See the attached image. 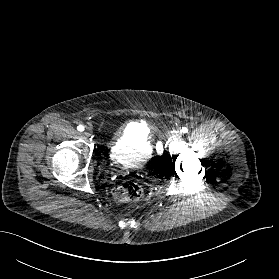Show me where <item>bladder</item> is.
Segmentation results:
<instances>
[{"label":"bladder","instance_id":"bladder-1","mask_svg":"<svg viewBox=\"0 0 279 279\" xmlns=\"http://www.w3.org/2000/svg\"><path fill=\"white\" fill-rule=\"evenodd\" d=\"M110 157L123 167L140 166L153 156L149 127L139 121L124 124L109 147Z\"/></svg>","mask_w":279,"mask_h":279}]
</instances>
